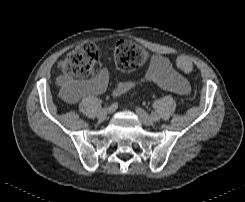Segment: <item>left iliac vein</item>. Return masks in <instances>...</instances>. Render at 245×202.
<instances>
[{"label":"left iliac vein","mask_w":245,"mask_h":202,"mask_svg":"<svg viewBox=\"0 0 245 202\" xmlns=\"http://www.w3.org/2000/svg\"><path fill=\"white\" fill-rule=\"evenodd\" d=\"M136 113L143 124L153 125L154 118L150 117L143 109L136 108Z\"/></svg>","instance_id":"left-iliac-vein-1"}]
</instances>
